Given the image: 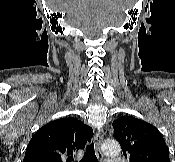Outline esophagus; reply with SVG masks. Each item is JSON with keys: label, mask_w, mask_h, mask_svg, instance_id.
Here are the masks:
<instances>
[{"label": "esophagus", "mask_w": 175, "mask_h": 162, "mask_svg": "<svg viewBox=\"0 0 175 162\" xmlns=\"http://www.w3.org/2000/svg\"><path fill=\"white\" fill-rule=\"evenodd\" d=\"M103 137H104L103 130L97 131L95 136H94L96 152H97V156L99 157L100 160L103 159V153L101 151V143H102Z\"/></svg>", "instance_id": "obj_1"}]
</instances>
